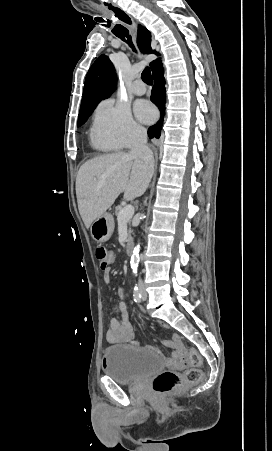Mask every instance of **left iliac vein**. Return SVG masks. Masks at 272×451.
<instances>
[{
    "label": "left iliac vein",
    "mask_w": 272,
    "mask_h": 451,
    "mask_svg": "<svg viewBox=\"0 0 272 451\" xmlns=\"http://www.w3.org/2000/svg\"><path fill=\"white\" fill-rule=\"evenodd\" d=\"M141 290H142V296H143V300H146V298H147V294H146V291H145V288H144V286H141Z\"/></svg>",
    "instance_id": "1"
}]
</instances>
